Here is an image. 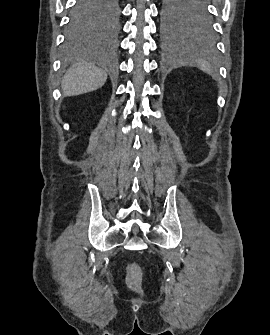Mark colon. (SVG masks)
<instances>
[{"label":"colon","mask_w":270,"mask_h":335,"mask_svg":"<svg viewBox=\"0 0 270 335\" xmlns=\"http://www.w3.org/2000/svg\"><path fill=\"white\" fill-rule=\"evenodd\" d=\"M126 285L134 292L141 291L142 272L137 263H129L127 265V274L125 279Z\"/></svg>","instance_id":"1"}]
</instances>
